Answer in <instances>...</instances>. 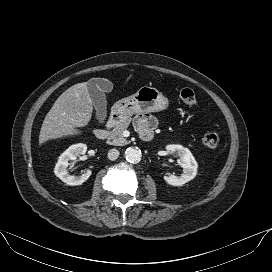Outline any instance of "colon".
I'll use <instances>...</instances> for the list:
<instances>
[{
    "label": "colon",
    "mask_w": 272,
    "mask_h": 272,
    "mask_svg": "<svg viewBox=\"0 0 272 272\" xmlns=\"http://www.w3.org/2000/svg\"><path fill=\"white\" fill-rule=\"evenodd\" d=\"M180 99L187 105H195L197 103V97L195 92L191 88H184L180 91ZM203 144L210 148L216 149L220 145V138L215 133H205L202 137Z\"/></svg>",
    "instance_id": "obj_1"
}]
</instances>
